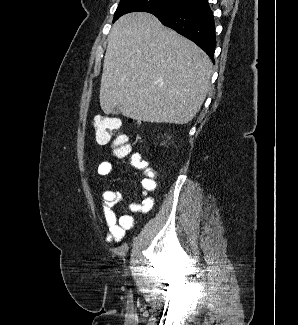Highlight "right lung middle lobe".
<instances>
[{
  "label": "right lung middle lobe",
  "mask_w": 298,
  "mask_h": 325,
  "mask_svg": "<svg viewBox=\"0 0 298 325\" xmlns=\"http://www.w3.org/2000/svg\"><path fill=\"white\" fill-rule=\"evenodd\" d=\"M193 0H121L114 14L115 22L120 16L135 11L152 14L168 13L180 9Z\"/></svg>",
  "instance_id": "dd1d6c3e"
}]
</instances>
